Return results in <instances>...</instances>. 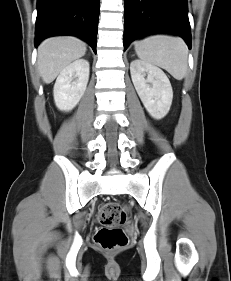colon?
<instances>
[{
	"instance_id": "5ec220e1",
	"label": "colon",
	"mask_w": 231,
	"mask_h": 281,
	"mask_svg": "<svg viewBox=\"0 0 231 281\" xmlns=\"http://www.w3.org/2000/svg\"><path fill=\"white\" fill-rule=\"evenodd\" d=\"M128 208L118 202L100 206L98 218L102 224L95 234V242L105 250H117L127 244V236L120 226L126 221Z\"/></svg>"
}]
</instances>
